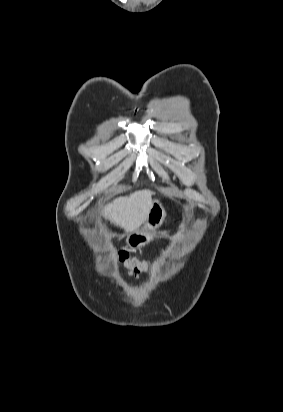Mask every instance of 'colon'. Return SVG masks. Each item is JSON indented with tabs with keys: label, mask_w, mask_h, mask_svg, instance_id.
<instances>
[{
	"label": "colon",
	"mask_w": 283,
	"mask_h": 412,
	"mask_svg": "<svg viewBox=\"0 0 283 412\" xmlns=\"http://www.w3.org/2000/svg\"><path fill=\"white\" fill-rule=\"evenodd\" d=\"M119 264L130 275L140 276L147 272L150 263L136 258H131L125 251H119L116 255Z\"/></svg>",
	"instance_id": "5ec220e1"
}]
</instances>
